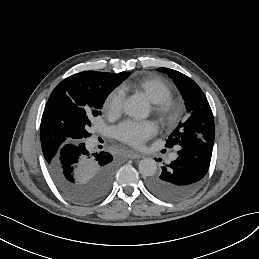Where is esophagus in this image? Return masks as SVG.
Here are the masks:
<instances>
[{"mask_svg": "<svg viewBox=\"0 0 259 259\" xmlns=\"http://www.w3.org/2000/svg\"><path fill=\"white\" fill-rule=\"evenodd\" d=\"M126 157L129 159H138V158H141L142 156L134 152L133 150H129L126 154Z\"/></svg>", "mask_w": 259, "mask_h": 259, "instance_id": "obj_1", "label": "esophagus"}]
</instances>
